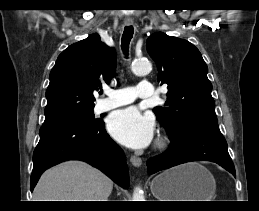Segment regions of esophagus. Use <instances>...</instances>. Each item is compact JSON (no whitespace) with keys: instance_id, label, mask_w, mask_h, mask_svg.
<instances>
[{"instance_id":"obj_1","label":"esophagus","mask_w":259,"mask_h":211,"mask_svg":"<svg viewBox=\"0 0 259 211\" xmlns=\"http://www.w3.org/2000/svg\"><path fill=\"white\" fill-rule=\"evenodd\" d=\"M126 25L127 26L132 25V22H126ZM130 162L132 163L133 166L139 167L142 164V159L137 156H131Z\"/></svg>"}]
</instances>
